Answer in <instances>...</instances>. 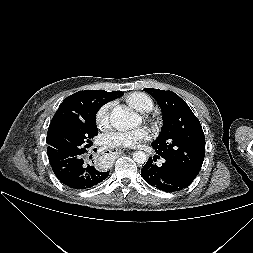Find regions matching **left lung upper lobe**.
<instances>
[{
    "mask_svg": "<svg viewBox=\"0 0 253 253\" xmlns=\"http://www.w3.org/2000/svg\"><path fill=\"white\" fill-rule=\"evenodd\" d=\"M144 91L158 102L163 114L161 132L151 144L155 152L197 176L205 156V136L199 120L176 93L153 88Z\"/></svg>",
    "mask_w": 253,
    "mask_h": 253,
    "instance_id": "obj_1",
    "label": "left lung upper lobe"
}]
</instances>
